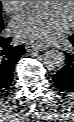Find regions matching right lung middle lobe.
Segmentation results:
<instances>
[{
    "mask_svg": "<svg viewBox=\"0 0 74 122\" xmlns=\"http://www.w3.org/2000/svg\"><path fill=\"white\" fill-rule=\"evenodd\" d=\"M2 29H3V23H2L1 16H0V32H1Z\"/></svg>",
    "mask_w": 74,
    "mask_h": 122,
    "instance_id": "obj_1",
    "label": "right lung middle lobe"
}]
</instances>
